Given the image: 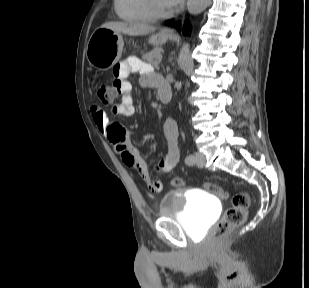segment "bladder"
<instances>
[{
	"instance_id": "obj_1",
	"label": "bladder",
	"mask_w": 309,
	"mask_h": 288,
	"mask_svg": "<svg viewBox=\"0 0 309 288\" xmlns=\"http://www.w3.org/2000/svg\"><path fill=\"white\" fill-rule=\"evenodd\" d=\"M215 194L198 191L173 190L165 193L158 204L159 217L175 218L191 233L203 232L219 211Z\"/></svg>"
}]
</instances>
